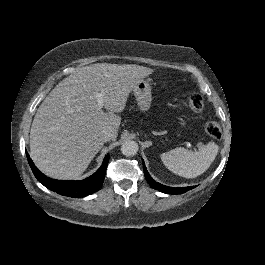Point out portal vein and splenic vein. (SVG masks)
<instances>
[{"label":"portal vein and splenic vein","instance_id":"portal-vein-and-splenic-vein-1","mask_svg":"<svg viewBox=\"0 0 265 265\" xmlns=\"http://www.w3.org/2000/svg\"><path fill=\"white\" fill-rule=\"evenodd\" d=\"M97 105L99 109L103 108L104 105V94L102 92H96ZM187 147H191V144L187 142ZM193 149L199 150V147L193 146Z\"/></svg>","mask_w":265,"mask_h":265}]
</instances>
